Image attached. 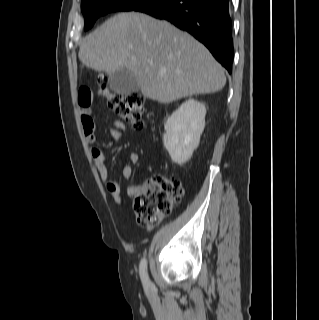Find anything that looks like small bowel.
Masks as SVG:
<instances>
[{"label":"small bowel","instance_id":"c3829d8e","mask_svg":"<svg viewBox=\"0 0 319 320\" xmlns=\"http://www.w3.org/2000/svg\"><path fill=\"white\" fill-rule=\"evenodd\" d=\"M92 92L87 87H82L78 93V103L80 106V121L85 132L86 140L89 143L95 142V130L96 123L92 114ZM127 133L126 125L120 121L115 120L113 128L110 131V135L113 139L118 140ZM90 155L94 166L96 167L99 175L105 183L107 190L112 195L113 199L117 203L123 201L121 185L115 181L109 172V169L105 163V151L101 147H91ZM139 161V154L136 152H130L124 160L122 156L117 157V166L121 171L123 177L126 180H130L133 174V165ZM139 192V186L129 184L126 187V193L129 197H135Z\"/></svg>","mask_w":319,"mask_h":320}]
</instances>
